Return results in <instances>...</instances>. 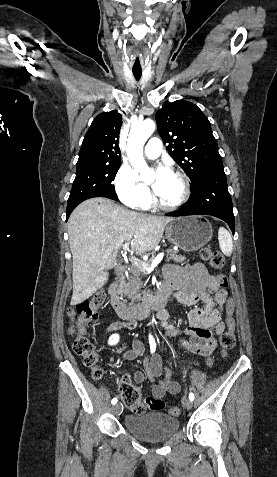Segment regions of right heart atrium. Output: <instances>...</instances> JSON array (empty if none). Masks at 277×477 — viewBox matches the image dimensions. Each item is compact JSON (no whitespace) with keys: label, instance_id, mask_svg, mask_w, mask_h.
Listing matches in <instances>:
<instances>
[{"label":"right heart atrium","instance_id":"right-heart-atrium-1","mask_svg":"<svg viewBox=\"0 0 277 477\" xmlns=\"http://www.w3.org/2000/svg\"><path fill=\"white\" fill-rule=\"evenodd\" d=\"M117 196L123 204L138 210L150 207L152 195L149 188L137 177L134 170L127 166H121L114 179Z\"/></svg>","mask_w":277,"mask_h":477}]
</instances>
